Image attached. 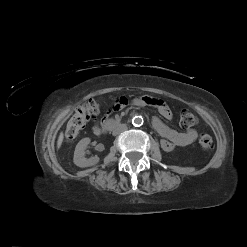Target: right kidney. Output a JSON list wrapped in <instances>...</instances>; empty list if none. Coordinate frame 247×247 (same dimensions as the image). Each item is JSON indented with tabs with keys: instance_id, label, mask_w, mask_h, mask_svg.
<instances>
[{
	"instance_id": "1",
	"label": "right kidney",
	"mask_w": 247,
	"mask_h": 247,
	"mask_svg": "<svg viewBox=\"0 0 247 247\" xmlns=\"http://www.w3.org/2000/svg\"><path fill=\"white\" fill-rule=\"evenodd\" d=\"M89 143H90V138H83L76 145L74 151V157H73V162L76 166L81 168L90 167L96 165L99 162V157L97 156L91 157L89 159H86L84 157L85 149Z\"/></svg>"
}]
</instances>
